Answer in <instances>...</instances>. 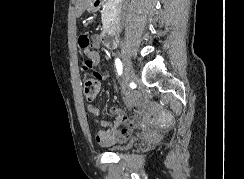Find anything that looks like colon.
Instances as JSON below:
<instances>
[{"label": "colon", "instance_id": "obj_1", "mask_svg": "<svg viewBox=\"0 0 244 179\" xmlns=\"http://www.w3.org/2000/svg\"><path fill=\"white\" fill-rule=\"evenodd\" d=\"M100 90V79L96 74H84V81L82 85V92L85 99L94 101Z\"/></svg>", "mask_w": 244, "mask_h": 179}]
</instances>
